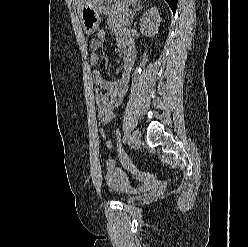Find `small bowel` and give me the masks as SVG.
<instances>
[{
	"instance_id": "obj_1",
	"label": "small bowel",
	"mask_w": 248,
	"mask_h": 247,
	"mask_svg": "<svg viewBox=\"0 0 248 247\" xmlns=\"http://www.w3.org/2000/svg\"><path fill=\"white\" fill-rule=\"evenodd\" d=\"M104 35L91 39L90 48L92 50L89 61L91 65H97L101 60L99 50L104 42ZM119 50L123 54V69L120 79L116 81L107 80L99 70L93 72V81L96 85L95 100L98 108V117L102 125H107L115 118V110L121 104L127 90L134 64V52L130 40L124 34L119 35ZM106 147L111 150L113 144L106 137L104 129L100 130ZM117 161L113 156L106 158V165L112 169Z\"/></svg>"
}]
</instances>
